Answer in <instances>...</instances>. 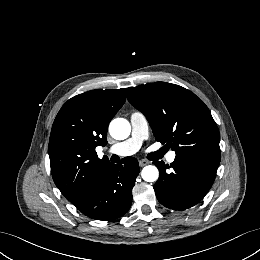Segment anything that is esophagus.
I'll use <instances>...</instances> for the list:
<instances>
[{"instance_id": "obj_1", "label": "esophagus", "mask_w": 260, "mask_h": 260, "mask_svg": "<svg viewBox=\"0 0 260 260\" xmlns=\"http://www.w3.org/2000/svg\"><path fill=\"white\" fill-rule=\"evenodd\" d=\"M149 163L150 162L148 160H141V161H139V164H140L141 167H143V166H145V165H147Z\"/></svg>"}]
</instances>
